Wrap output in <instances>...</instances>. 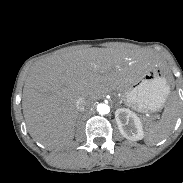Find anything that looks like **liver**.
I'll return each mask as SVG.
<instances>
[{"label": "liver", "mask_w": 183, "mask_h": 183, "mask_svg": "<svg viewBox=\"0 0 183 183\" xmlns=\"http://www.w3.org/2000/svg\"><path fill=\"white\" fill-rule=\"evenodd\" d=\"M154 64L141 51L94 47L36 62L29 70L22 96L29 134L49 149L69 145L75 134L80 97L89 106L109 92H123L134 76Z\"/></svg>", "instance_id": "6515ba94"}]
</instances>
